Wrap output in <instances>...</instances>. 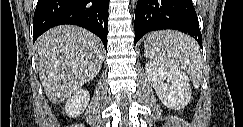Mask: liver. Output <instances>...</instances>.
<instances>
[{
  "label": "liver",
  "instance_id": "1",
  "mask_svg": "<svg viewBox=\"0 0 243 127\" xmlns=\"http://www.w3.org/2000/svg\"><path fill=\"white\" fill-rule=\"evenodd\" d=\"M35 48L39 78L53 104L64 102L101 69L100 39L77 26L48 30L38 38Z\"/></svg>",
  "mask_w": 243,
  "mask_h": 127
}]
</instances>
